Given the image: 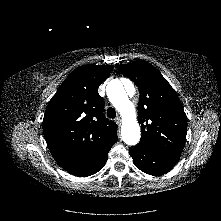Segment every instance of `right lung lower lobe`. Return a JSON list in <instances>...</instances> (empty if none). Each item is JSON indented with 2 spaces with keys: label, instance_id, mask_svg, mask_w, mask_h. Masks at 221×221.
<instances>
[{
  "label": "right lung lower lobe",
  "instance_id": "1",
  "mask_svg": "<svg viewBox=\"0 0 221 221\" xmlns=\"http://www.w3.org/2000/svg\"><path fill=\"white\" fill-rule=\"evenodd\" d=\"M112 145L101 151L95 158L92 159V161L88 162L83 166L74 168L72 170H68V172L78 177H86L95 174L107 162L108 152L111 149Z\"/></svg>",
  "mask_w": 221,
  "mask_h": 221
}]
</instances>
